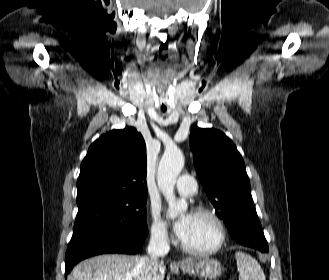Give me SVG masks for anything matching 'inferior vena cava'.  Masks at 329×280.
Returning <instances> with one entry per match:
<instances>
[{"label":"inferior vena cava","mask_w":329,"mask_h":280,"mask_svg":"<svg viewBox=\"0 0 329 280\" xmlns=\"http://www.w3.org/2000/svg\"><path fill=\"white\" fill-rule=\"evenodd\" d=\"M168 235L165 230L152 231L150 242L147 248V256L141 258L140 264L143 267L145 279L151 278V272L162 265L160 258L169 252Z\"/></svg>","instance_id":"obj_1"}]
</instances>
